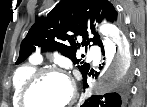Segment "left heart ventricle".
<instances>
[{"mask_svg":"<svg viewBox=\"0 0 147 107\" xmlns=\"http://www.w3.org/2000/svg\"><path fill=\"white\" fill-rule=\"evenodd\" d=\"M70 92V84L66 79L51 75L32 89L29 101L32 107H59L67 101Z\"/></svg>","mask_w":147,"mask_h":107,"instance_id":"b2bd125f","label":"left heart ventricle"}]
</instances>
